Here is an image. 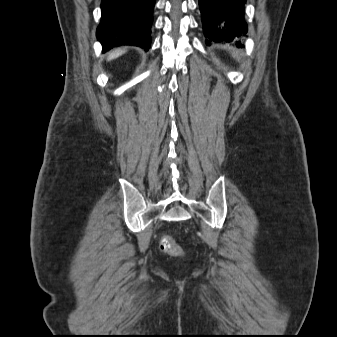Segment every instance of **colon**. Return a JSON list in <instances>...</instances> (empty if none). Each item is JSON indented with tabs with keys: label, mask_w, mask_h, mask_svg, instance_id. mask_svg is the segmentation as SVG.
Returning <instances> with one entry per match:
<instances>
[{
	"label": "colon",
	"mask_w": 337,
	"mask_h": 337,
	"mask_svg": "<svg viewBox=\"0 0 337 337\" xmlns=\"http://www.w3.org/2000/svg\"><path fill=\"white\" fill-rule=\"evenodd\" d=\"M159 245L162 251L171 254H178L179 247L176 245L172 237L165 233L160 237Z\"/></svg>",
	"instance_id": "1"
}]
</instances>
